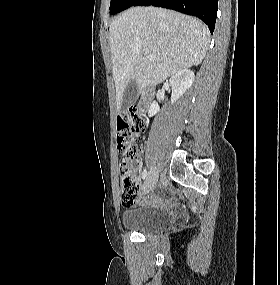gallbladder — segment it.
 <instances>
[{"mask_svg":"<svg viewBox=\"0 0 280 285\" xmlns=\"http://www.w3.org/2000/svg\"><path fill=\"white\" fill-rule=\"evenodd\" d=\"M138 94V85L135 80H131L123 93V99L121 104V110L124 111L132 104L135 103Z\"/></svg>","mask_w":280,"mask_h":285,"instance_id":"bac80fb5","label":"gallbladder"}]
</instances>
